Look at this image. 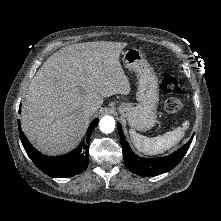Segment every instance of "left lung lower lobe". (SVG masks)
I'll list each match as a JSON object with an SVG mask.
<instances>
[{
  "label": "left lung lower lobe",
  "mask_w": 221,
  "mask_h": 221,
  "mask_svg": "<svg viewBox=\"0 0 221 221\" xmlns=\"http://www.w3.org/2000/svg\"><path fill=\"white\" fill-rule=\"evenodd\" d=\"M117 128L119 130L123 158L126 167L137 175L148 177L160 175L172 170L186 154L194 137V135H192L187 144L168 156L148 159L135 155L125 141L122 126L118 124Z\"/></svg>",
  "instance_id": "0a47b994"
}]
</instances>
